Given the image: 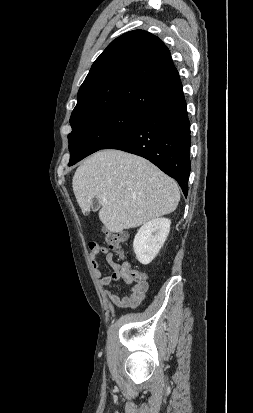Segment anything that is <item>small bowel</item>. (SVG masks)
<instances>
[{"instance_id":"obj_1","label":"small bowel","mask_w":253,"mask_h":413,"mask_svg":"<svg viewBox=\"0 0 253 413\" xmlns=\"http://www.w3.org/2000/svg\"><path fill=\"white\" fill-rule=\"evenodd\" d=\"M89 249V258L94 274L98 278L99 284L102 287L110 286L116 283H122L123 285L129 286L135 282V284L127 294H123L118 291H104L105 295L111 301V303L118 308L133 309L138 307L145 299L146 292L148 290L147 281H134L129 275L125 273L127 263H124L122 265L118 264L114 260V253L106 247H103L98 243L92 242L89 244ZM100 253H104L106 255V261L108 265L113 269V273L111 275H104L102 270L100 269V264L97 260V256Z\"/></svg>"}]
</instances>
